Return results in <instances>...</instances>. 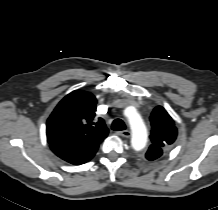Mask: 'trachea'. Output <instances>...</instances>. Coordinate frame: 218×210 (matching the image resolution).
<instances>
[{"label":"trachea","instance_id":"trachea-1","mask_svg":"<svg viewBox=\"0 0 218 210\" xmlns=\"http://www.w3.org/2000/svg\"><path fill=\"white\" fill-rule=\"evenodd\" d=\"M111 128L114 131H122L126 129V125L121 119H115L111 125Z\"/></svg>","mask_w":218,"mask_h":210}]
</instances>
